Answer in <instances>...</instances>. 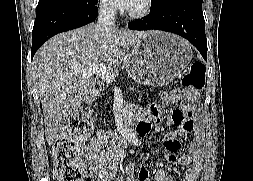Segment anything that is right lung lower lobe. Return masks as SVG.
<instances>
[{"instance_id": "1", "label": "right lung lower lobe", "mask_w": 253, "mask_h": 181, "mask_svg": "<svg viewBox=\"0 0 253 181\" xmlns=\"http://www.w3.org/2000/svg\"><path fill=\"white\" fill-rule=\"evenodd\" d=\"M97 0H58L37 7L32 31V58L40 46L60 32L94 21L98 15Z\"/></svg>"}]
</instances>
